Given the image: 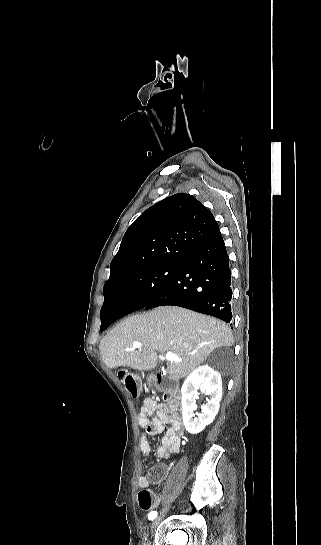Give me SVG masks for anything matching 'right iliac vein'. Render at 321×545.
Listing matches in <instances>:
<instances>
[{"instance_id": "1", "label": "right iliac vein", "mask_w": 321, "mask_h": 545, "mask_svg": "<svg viewBox=\"0 0 321 545\" xmlns=\"http://www.w3.org/2000/svg\"><path fill=\"white\" fill-rule=\"evenodd\" d=\"M169 510V505L166 506L160 513V515L153 521L152 525H151V529L154 530L156 529V527L159 525V523L163 520V518L165 517L167 511Z\"/></svg>"}]
</instances>
